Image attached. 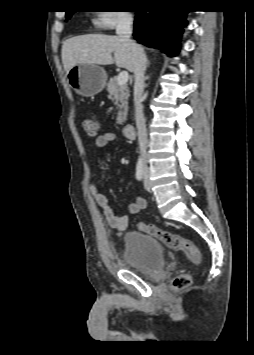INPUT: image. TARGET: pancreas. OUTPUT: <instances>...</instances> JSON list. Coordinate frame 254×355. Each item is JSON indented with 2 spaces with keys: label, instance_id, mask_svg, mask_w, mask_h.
Returning a JSON list of instances; mask_svg holds the SVG:
<instances>
[{
  "label": "pancreas",
  "instance_id": "obj_1",
  "mask_svg": "<svg viewBox=\"0 0 254 355\" xmlns=\"http://www.w3.org/2000/svg\"><path fill=\"white\" fill-rule=\"evenodd\" d=\"M107 91L109 93V98L113 99L115 105L119 108L116 123L122 125L126 121L128 111L129 89L126 84L119 85L117 77L114 76L110 78L107 84Z\"/></svg>",
  "mask_w": 254,
  "mask_h": 355
}]
</instances>
